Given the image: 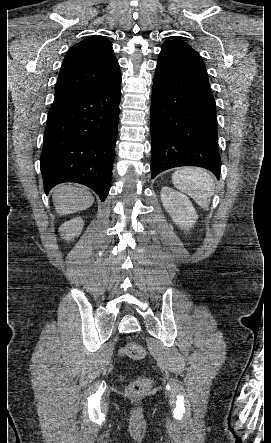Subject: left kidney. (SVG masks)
Here are the masks:
<instances>
[{
    "instance_id": "obj_1",
    "label": "left kidney",
    "mask_w": 271,
    "mask_h": 443,
    "mask_svg": "<svg viewBox=\"0 0 271 443\" xmlns=\"http://www.w3.org/2000/svg\"><path fill=\"white\" fill-rule=\"evenodd\" d=\"M161 202L168 214H172L173 222L182 229H190L198 216L187 196L164 186L161 190Z\"/></svg>"
}]
</instances>
